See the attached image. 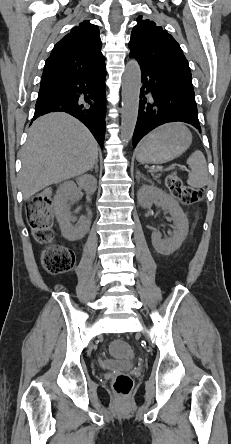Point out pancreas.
Wrapping results in <instances>:
<instances>
[{"instance_id":"pancreas-1","label":"pancreas","mask_w":231,"mask_h":444,"mask_svg":"<svg viewBox=\"0 0 231 444\" xmlns=\"http://www.w3.org/2000/svg\"><path fill=\"white\" fill-rule=\"evenodd\" d=\"M154 173L155 172L152 173V177L157 180L160 177V174H154Z\"/></svg>"}]
</instances>
